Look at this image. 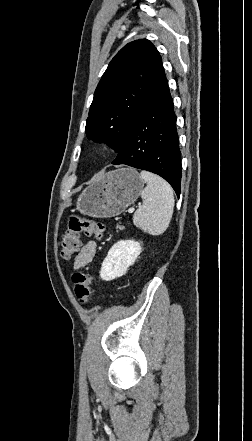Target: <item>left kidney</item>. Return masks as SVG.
<instances>
[{
    "mask_svg": "<svg viewBox=\"0 0 252 441\" xmlns=\"http://www.w3.org/2000/svg\"><path fill=\"white\" fill-rule=\"evenodd\" d=\"M142 252L139 242L134 240H120L115 243L104 259L100 277L104 281H111L123 276L127 269L134 264Z\"/></svg>",
    "mask_w": 252,
    "mask_h": 441,
    "instance_id": "1",
    "label": "left kidney"
}]
</instances>
